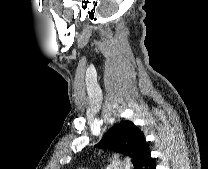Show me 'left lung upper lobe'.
Listing matches in <instances>:
<instances>
[{"mask_svg": "<svg viewBox=\"0 0 208 169\" xmlns=\"http://www.w3.org/2000/svg\"><path fill=\"white\" fill-rule=\"evenodd\" d=\"M95 147L131 157L135 169L142 154L149 149L143 132L131 121H121L114 125Z\"/></svg>", "mask_w": 208, "mask_h": 169, "instance_id": "5c2ea615", "label": "left lung upper lobe"}]
</instances>
